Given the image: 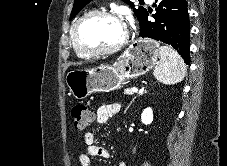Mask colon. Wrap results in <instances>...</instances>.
Returning <instances> with one entry per match:
<instances>
[{
	"label": "colon",
	"instance_id": "colon-1",
	"mask_svg": "<svg viewBox=\"0 0 227 166\" xmlns=\"http://www.w3.org/2000/svg\"><path fill=\"white\" fill-rule=\"evenodd\" d=\"M71 116L76 130H84L93 120V114L84 102H78L73 106Z\"/></svg>",
	"mask_w": 227,
	"mask_h": 166
}]
</instances>
